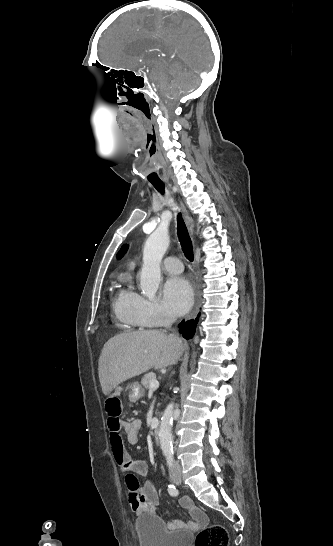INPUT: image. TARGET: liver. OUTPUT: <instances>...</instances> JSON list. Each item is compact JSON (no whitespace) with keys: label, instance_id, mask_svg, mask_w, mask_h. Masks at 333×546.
I'll return each instance as SVG.
<instances>
[{"label":"liver","instance_id":"1","mask_svg":"<svg viewBox=\"0 0 333 546\" xmlns=\"http://www.w3.org/2000/svg\"><path fill=\"white\" fill-rule=\"evenodd\" d=\"M183 353L181 339L162 331L148 330L117 335L104 345L99 357V380L104 395L120 383L151 368L176 364Z\"/></svg>","mask_w":333,"mask_h":546}]
</instances>
